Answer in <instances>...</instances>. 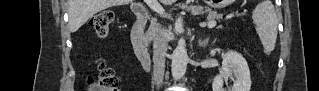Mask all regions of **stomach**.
<instances>
[{"label":"stomach","instance_id":"0dacf381","mask_svg":"<svg viewBox=\"0 0 319 91\" xmlns=\"http://www.w3.org/2000/svg\"><path fill=\"white\" fill-rule=\"evenodd\" d=\"M210 5L214 8H221V7L225 6V3L221 2V1H213L210 3Z\"/></svg>","mask_w":319,"mask_h":91}]
</instances>
